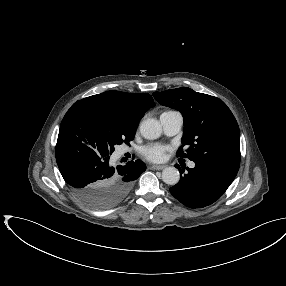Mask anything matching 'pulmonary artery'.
Instances as JSON below:
<instances>
[{
    "label": "pulmonary artery",
    "instance_id": "e3ab8cb5",
    "mask_svg": "<svg viewBox=\"0 0 286 286\" xmlns=\"http://www.w3.org/2000/svg\"><path fill=\"white\" fill-rule=\"evenodd\" d=\"M160 123L163 131L168 136H173L179 133L183 125V117L181 113L177 111L165 112L160 116ZM188 166L193 168L195 166L194 162H189Z\"/></svg>",
    "mask_w": 286,
    "mask_h": 286
}]
</instances>
